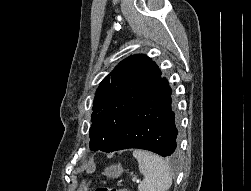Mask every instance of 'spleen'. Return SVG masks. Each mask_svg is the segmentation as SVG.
I'll return each instance as SVG.
<instances>
[{"mask_svg":"<svg viewBox=\"0 0 251 191\" xmlns=\"http://www.w3.org/2000/svg\"><path fill=\"white\" fill-rule=\"evenodd\" d=\"M133 155L138 161L139 171L144 175L138 191H168L172 183V171L165 159L146 149H134Z\"/></svg>","mask_w":251,"mask_h":191,"instance_id":"3e777b00","label":"spleen"}]
</instances>
